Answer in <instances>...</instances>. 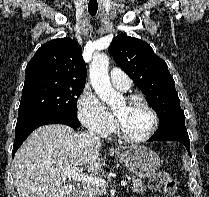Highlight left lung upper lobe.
<instances>
[{
    "mask_svg": "<svg viewBox=\"0 0 209 197\" xmlns=\"http://www.w3.org/2000/svg\"><path fill=\"white\" fill-rule=\"evenodd\" d=\"M108 50L148 97V103L158 114L160 126L171 120L185 119L167 64L149 44L121 34L114 38Z\"/></svg>",
    "mask_w": 209,
    "mask_h": 197,
    "instance_id": "1",
    "label": "left lung upper lobe"
}]
</instances>
